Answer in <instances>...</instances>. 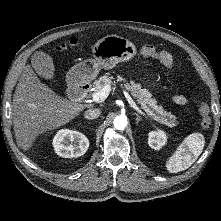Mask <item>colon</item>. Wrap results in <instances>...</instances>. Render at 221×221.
<instances>
[{
	"instance_id": "1",
	"label": "colon",
	"mask_w": 221,
	"mask_h": 221,
	"mask_svg": "<svg viewBox=\"0 0 221 221\" xmlns=\"http://www.w3.org/2000/svg\"><path fill=\"white\" fill-rule=\"evenodd\" d=\"M80 45V42L73 38L68 43L62 44L57 48L59 52L67 51L71 48L78 47ZM139 53L144 57H155L158 58L163 64L166 66L172 68L174 65L173 57L170 53L159 50L156 47L152 45H143L139 49ZM199 111L201 114V126L204 129H207L211 126V118H210V109L208 104L204 101H200L199 105Z\"/></svg>"
}]
</instances>
